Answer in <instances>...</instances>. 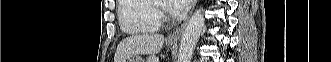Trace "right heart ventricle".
Returning <instances> with one entry per match:
<instances>
[{
	"label": "right heart ventricle",
	"mask_w": 331,
	"mask_h": 62,
	"mask_svg": "<svg viewBox=\"0 0 331 62\" xmlns=\"http://www.w3.org/2000/svg\"><path fill=\"white\" fill-rule=\"evenodd\" d=\"M117 15L121 30L127 34L153 33L158 30L150 1L120 0Z\"/></svg>",
	"instance_id": "e07e8e85"
}]
</instances>
